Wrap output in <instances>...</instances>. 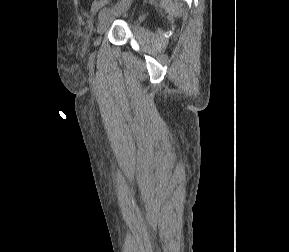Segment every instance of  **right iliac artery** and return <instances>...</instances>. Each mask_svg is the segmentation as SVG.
<instances>
[{
	"mask_svg": "<svg viewBox=\"0 0 289 252\" xmlns=\"http://www.w3.org/2000/svg\"><path fill=\"white\" fill-rule=\"evenodd\" d=\"M109 10V8H103L99 13L98 18L102 19L109 12Z\"/></svg>",
	"mask_w": 289,
	"mask_h": 252,
	"instance_id": "1",
	"label": "right iliac artery"
}]
</instances>
